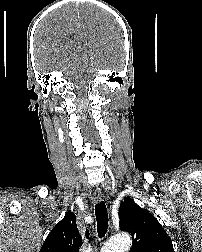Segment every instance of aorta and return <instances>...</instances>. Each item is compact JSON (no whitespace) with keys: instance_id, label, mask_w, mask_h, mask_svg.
<instances>
[{"instance_id":"762f6f07","label":"aorta","mask_w":202,"mask_h":252,"mask_svg":"<svg viewBox=\"0 0 202 252\" xmlns=\"http://www.w3.org/2000/svg\"><path fill=\"white\" fill-rule=\"evenodd\" d=\"M132 245V240L128 234H120L110 239L101 252H127Z\"/></svg>"}]
</instances>
